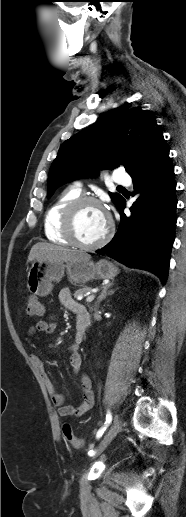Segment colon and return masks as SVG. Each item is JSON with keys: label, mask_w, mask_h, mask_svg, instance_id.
Here are the masks:
<instances>
[{"label": "colon", "mask_w": 186, "mask_h": 517, "mask_svg": "<svg viewBox=\"0 0 186 517\" xmlns=\"http://www.w3.org/2000/svg\"><path fill=\"white\" fill-rule=\"evenodd\" d=\"M44 312L43 305L41 301L34 296H31L27 299L26 302V313L30 317L42 315ZM62 434L64 439L70 443L74 448L81 449L84 447V441L78 437H76L73 433V430L70 424L65 423L62 426Z\"/></svg>", "instance_id": "colon-1"}]
</instances>
